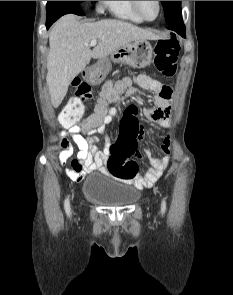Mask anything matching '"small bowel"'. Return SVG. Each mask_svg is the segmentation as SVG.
Returning <instances> with one entry per match:
<instances>
[{
  "label": "small bowel",
  "instance_id": "c3829d8e",
  "mask_svg": "<svg viewBox=\"0 0 233 295\" xmlns=\"http://www.w3.org/2000/svg\"><path fill=\"white\" fill-rule=\"evenodd\" d=\"M132 94V92H129V95ZM152 100L154 107L144 109L143 115L151 123L168 125L171 113V98L166 99L154 95ZM127 111L135 117L138 112L135 107H130ZM116 113L117 110L115 108L108 110L103 117L102 123L92 130H85L83 126H70L67 134L71 137L72 141L65 137L66 134L62 135V139L58 144L62 152L59 154L58 158L61 164L70 160V168L66 169L65 173L71 180L80 182L88 173L109 172L107 163L111 154V146L107 138L105 147L99 149L97 145L99 140L97 134H103L105 132L106 126L112 122ZM81 132H85L87 136L84 137L81 135ZM74 145L78 148L76 158H72L74 154ZM163 150L167 155L162 159L153 157L148 153L151 165L150 168L143 175H136L133 179L128 181L138 189L151 187L162 176L170 163L168 141L163 145Z\"/></svg>",
  "mask_w": 233,
  "mask_h": 295
}]
</instances>
